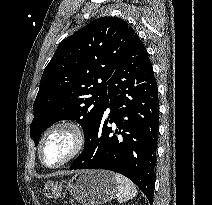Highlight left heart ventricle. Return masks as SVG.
I'll list each match as a JSON object with an SVG mask.
<instances>
[{"label":"left heart ventricle","instance_id":"b2bd125f","mask_svg":"<svg viewBox=\"0 0 212 205\" xmlns=\"http://www.w3.org/2000/svg\"><path fill=\"white\" fill-rule=\"evenodd\" d=\"M71 148V138L67 133L53 134L44 147V159L49 164H54L63 159Z\"/></svg>","mask_w":212,"mask_h":205}]
</instances>
